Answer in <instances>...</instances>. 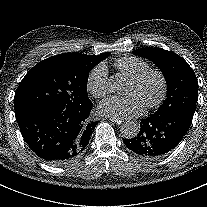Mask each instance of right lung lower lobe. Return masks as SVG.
Here are the masks:
<instances>
[{"instance_id": "1", "label": "right lung lower lobe", "mask_w": 207, "mask_h": 207, "mask_svg": "<svg viewBox=\"0 0 207 207\" xmlns=\"http://www.w3.org/2000/svg\"><path fill=\"white\" fill-rule=\"evenodd\" d=\"M92 103L73 111L57 107L28 112L16 118L21 134L34 153L51 165L62 166L83 154L97 122Z\"/></svg>"}]
</instances>
